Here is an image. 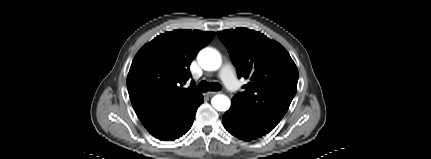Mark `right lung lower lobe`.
Returning a JSON list of instances; mask_svg holds the SVG:
<instances>
[{
	"label": "right lung lower lobe",
	"mask_w": 431,
	"mask_h": 159,
	"mask_svg": "<svg viewBox=\"0 0 431 159\" xmlns=\"http://www.w3.org/2000/svg\"><path fill=\"white\" fill-rule=\"evenodd\" d=\"M203 100V96L200 95L191 102L176 122L167 131L156 138L162 141H173L184 135L191 128L196 111L203 103Z\"/></svg>",
	"instance_id": "right-lung-lower-lobe-1"
}]
</instances>
